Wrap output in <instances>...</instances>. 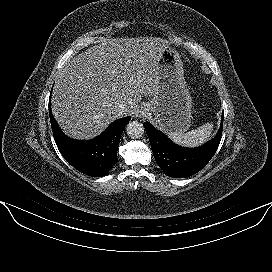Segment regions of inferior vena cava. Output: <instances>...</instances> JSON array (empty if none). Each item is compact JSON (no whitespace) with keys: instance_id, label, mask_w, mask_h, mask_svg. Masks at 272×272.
Listing matches in <instances>:
<instances>
[{"instance_id":"obj_1","label":"inferior vena cava","mask_w":272,"mask_h":272,"mask_svg":"<svg viewBox=\"0 0 272 272\" xmlns=\"http://www.w3.org/2000/svg\"><path fill=\"white\" fill-rule=\"evenodd\" d=\"M115 110L117 111L119 115H122L127 111V105L123 103L118 104L115 106Z\"/></svg>"}]
</instances>
